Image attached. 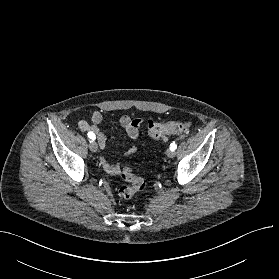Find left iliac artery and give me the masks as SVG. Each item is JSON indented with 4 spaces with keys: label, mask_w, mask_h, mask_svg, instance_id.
<instances>
[{
    "label": "left iliac artery",
    "mask_w": 279,
    "mask_h": 279,
    "mask_svg": "<svg viewBox=\"0 0 279 279\" xmlns=\"http://www.w3.org/2000/svg\"><path fill=\"white\" fill-rule=\"evenodd\" d=\"M176 144L175 143H172L171 145H170V150H172V151H174L175 149H176Z\"/></svg>",
    "instance_id": "1"
}]
</instances>
